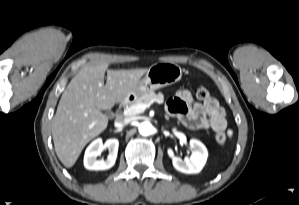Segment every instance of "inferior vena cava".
I'll use <instances>...</instances> for the list:
<instances>
[{"mask_svg":"<svg viewBox=\"0 0 299 205\" xmlns=\"http://www.w3.org/2000/svg\"><path fill=\"white\" fill-rule=\"evenodd\" d=\"M129 123L128 119L119 118L115 121L116 128H122Z\"/></svg>","mask_w":299,"mask_h":205,"instance_id":"obj_1","label":"inferior vena cava"}]
</instances>
